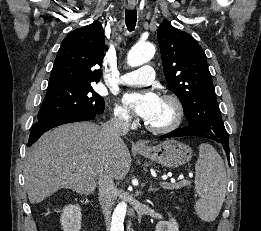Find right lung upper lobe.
<instances>
[{
	"label": "right lung upper lobe",
	"mask_w": 261,
	"mask_h": 231,
	"mask_svg": "<svg viewBox=\"0 0 261 231\" xmlns=\"http://www.w3.org/2000/svg\"><path fill=\"white\" fill-rule=\"evenodd\" d=\"M104 55V32L100 22L75 29L62 41L48 88L93 85L100 80Z\"/></svg>",
	"instance_id": "obj_1"
}]
</instances>
